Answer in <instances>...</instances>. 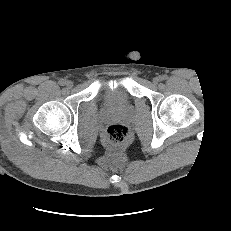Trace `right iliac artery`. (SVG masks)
<instances>
[{
  "instance_id": "1",
  "label": "right iliac artery",
  "mask_w": 231,
  "mask_h": 231,
  "mask_svg": "<svg viewBox=\"0 0 231 231\" xmlns=\"http://www.w3.org/2000/svg\"><path fill=\"white\" fill-rule=\"evenodd\" d=\"M59 84H60L61 86H64V85L66 84V81H65L64 79H60V80H59Z\"/></svg>"
}]
</instances>
